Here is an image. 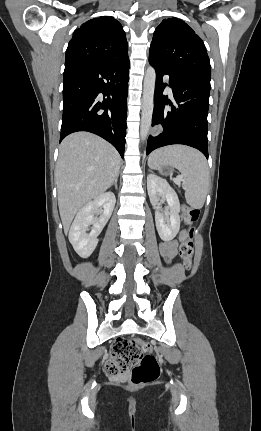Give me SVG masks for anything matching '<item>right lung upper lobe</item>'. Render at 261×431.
<instances>
[{"mask_svg":"<svg viewBox=\"0 0 261 431\" xmlns=\"http://www.w3.org/2000/svg\"><path fill=\"white\" fill-rule=\"evenodd\" d=\"M126 58L128 44L121 24L113 17L101 16L74 31L66 50L65 66L119 62Z\"/></svg>","mask_w":261,"mask_h":431,"instance_id":"obj_1","label":"right lung upper lobe"}]
</instances>
